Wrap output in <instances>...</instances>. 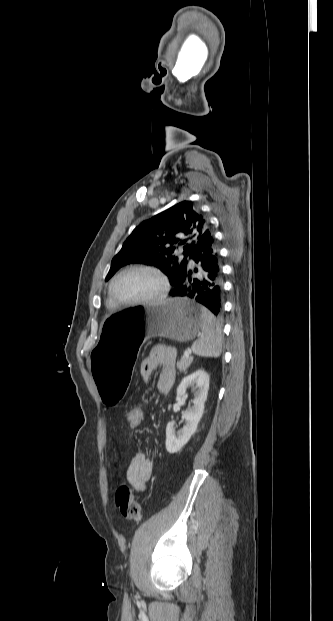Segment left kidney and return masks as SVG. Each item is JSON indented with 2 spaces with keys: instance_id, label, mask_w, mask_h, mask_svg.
<instances>
[{
  "instance_id": "left-kidney-1",
  "label": "left kidney",
  "mask_w": 333,
  "mask_h": 621,
  "mask_svg": "<svg viewBox=\"0 0 333 621\" xmlns=\"http://www.w3.org/2000/svg\"><path fill=\"white\" fill-rule=\"evenodd\" d=\"M191 388L195 394L192 406L183 413L185 425L176 432L174 422H169L166 427V450L173 454L182 449L196 432L198 423L204 412V403L207 400L209 390V375L204 370H197L193 374L183 378L176 392V400L186 397V390Z\"/></svg>"
}]
</instances>
